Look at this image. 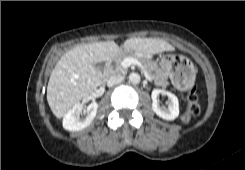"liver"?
Here are the masks:
<instances>
[{"instance_id":"1","label":"liver","mask_w":245,"mask_h":170,"mask_svg":"<svg viewBox=\"0 0 245 170\" xmlns=\"http://www.w3.org/2000/svg\"><path fill=\"white\" fill-rule=\"evenodd\" d=\"M127 51L154 55L172 50L173 46L158 38H130L124 42ZM121 52L114 41L77 45L56 63L47 86V101L52 113L62 118L75 104L101 85L103 75L95 64L107 61Z\"/></svg>"}]
</instances>
